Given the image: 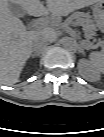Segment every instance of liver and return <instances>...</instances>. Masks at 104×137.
Returning <instances> with one entry per match:
<instances>
[{"label":"liver","mask_w":104,"mask_h":137,"mask_svg":"<svg viewBox=\"0 0 104 137\" xmlns=\"http://www.w3.org/2000/svg\"><path fill=\"white\" fill-rule=\"evenodd\" d=\"M8 1L22 6L31 16H43L51 12L54 16H67L74 10L92 5L100 0H47L44 7L39 0H1L0 8V82L12 85L18 82L21 71L30 57L32 44L40 37L52 40L55 32L45 29L41 32L26 31L21 20L9 10Z\"/></svg>","instance_id":"1"}]
</instances>
